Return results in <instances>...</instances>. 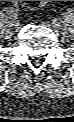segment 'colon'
Returning <instances> with one entry per match:
<instances>
[{
    "instance_id": "obj_1",
    "label": "colon",
    "mask_w": 74,
    "mask_h": 122,
    "mask_svg": "<svg viewBox=\"0 0 74 122\" xmlns=\"http://www.w3.org/2000/svg\"><path fill=\"white\" fill-rule=\"evenodd\" d=\"M45 1H21L22 5L28 8H37Z\"/></svg>"
}]
</instances>
